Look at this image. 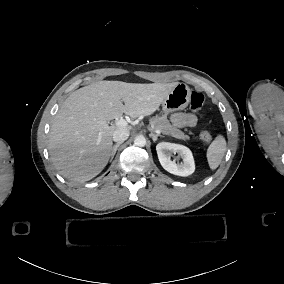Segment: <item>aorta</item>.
I'll list each match as a JSON object with an SVG mask.
<instances>
[{"instance_id":"762f6f07","label":"aorta","mask_w":284,"mask_h":284,"mask_svg":"<svg viewBox=\"0 0 284 284\" xmlns=\"http://www.w3.org/2000/svg\"><path fill=\"white\" fill-rule=\"evenodd\" d=\"M134 144L139 147H144L146 145V139L144 136L139 135L134 139Z\"/></svg>"}]
</instances>
